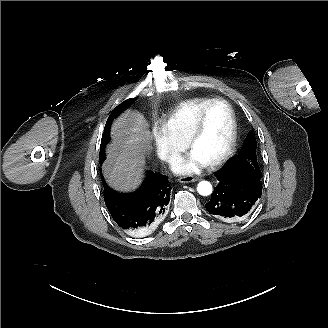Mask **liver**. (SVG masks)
<instances>
[{
  "label": "liver",
  "instance_id": "1",
  "mask_svg": "<svg viewBox=\"0 0 328 328\" xmlns=\"http://www.w3.org/2000/svg\"><path fill=\"white\" fill-rule=\"evenodd\" d=\"M112 143L107 146L104 176L113 189L135 190L142 182L145 155L152 150L149 123L138 111L127 110L117 118L111 129Z\"/></svg>",
  "mask_w": 328,
  "mask_h": 328
}]
</instances>
